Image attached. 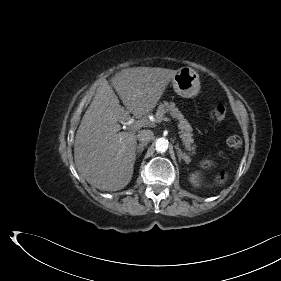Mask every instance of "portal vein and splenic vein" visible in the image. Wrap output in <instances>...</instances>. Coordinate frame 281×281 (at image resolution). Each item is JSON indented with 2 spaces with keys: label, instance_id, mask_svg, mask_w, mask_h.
I'll use <instances>...</instances> for the list:
<instances>
[{
  "label": "portal vein and splenic vein",
  "instance_id": "18ae733b",
  "mask_svg": "<svg viewBox=\"0 0 281 281\" xmlns=\"http://www.w3.org/2000/svg\"><path fill=\"white\" fill-rule=\"evenodd\" d=\"M163 120L166 122H171V119L168 117L163 118ZM147 123H148V121L143 119L140 121H136L133 124L130 123L129 125H131V128L133 131H136L137 129H140L142 126L146 125Z\"/></svg>",
  "mask_w": 281,
  "mask_h": 281
}]
</instances>
